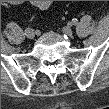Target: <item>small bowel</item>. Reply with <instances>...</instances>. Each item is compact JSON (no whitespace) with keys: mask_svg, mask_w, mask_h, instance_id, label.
Returning a JSON list of instances; mask_svg holds the SVG:
<instances>
[{"mask_svg":"<svg viewBox=\"0 0 109 109\" xmlns=\"http://www.w3.org/2000/svg\"><path fill=\"white\" fill-rule=\"evenodd\" d=\"M50 4V1H33V5L40 10L47 9L50 6Z\"/></svg>","mask_w":109,"mask_h":109,"instance_id":"c3829d8e","label":"small bowel"}]
</instances>
